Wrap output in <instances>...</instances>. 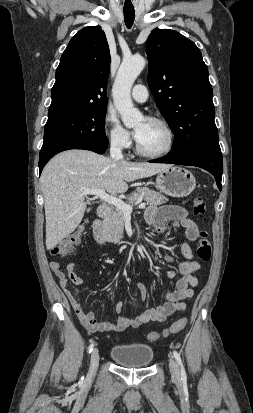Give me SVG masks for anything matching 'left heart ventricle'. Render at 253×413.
I'll return each mask as SVG.
<instances>
[{
	"mask_svg": "<svg viewBox=\"0 0 253 413\" xmlns=\"http://www.w3.org/2000/svg\"><path fill=\"white\" fill-rule=\"evenodd\" d=\"M134 129L140 131L137 141L145 151H160L167 144L168 137L165 130L152 121L140 120L136 123Z\"/></svg>",
	"mask_w": 253,
	"mask_h": 413,
	"instance_id": "b2bd125f",
	"label": "left heart ventricle"
}]
</instances>
